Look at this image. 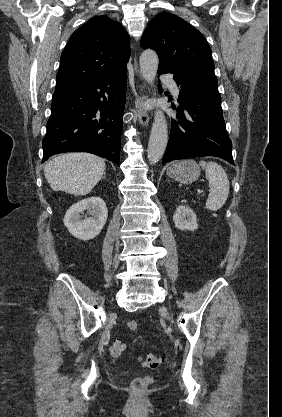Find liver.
Here are the masks:
<instances>
[{
    "label": "liver",
    "instance_id": "6515ba94",
    "mask_svg": "<svg viewBox=\"0 0 282 417\" xmlns=\"http://www.w3.org/2000/svg\"><path fill=\"white\" fill-rule=\"evenodd\" d=\"M106 164L89 152H67L49 160L44 174L53 190H65L70 194H88L101 180Z\"/></svg>",
    "mask_w": 282,
    "mask_h": 417
}]
</instances>
